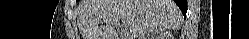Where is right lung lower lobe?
<instances>
[{
	"label": "right lung lower lobe",
	"mask_w": 249,
	"mask_h": 39,
	"mask_svg": "<svg viewBox=\"0 0 249 39\" xmlns=\"http://www.w3.org/2000/svg\"><path fill=\"white\" fill-rule=\"evenodd\" d=\"M176 4L182 11L183 15L186 16L187 12V0H175Z\"/></svg>",
	"instance_id": "obj_1"
}]
</instances>
